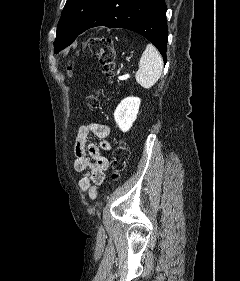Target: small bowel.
<instances>
[{
  "mask_svg": "<svg viewBox=\"0 0 240 281\" xmlns=\"http://www.w3.org/2000/svg\"><path fill=\"white\" fill-rule=\"evenodd\" d=\"M94 135L99 139L98 144L90 142ZM110 129L107 125L99 122H90L78 128L74 144V169L82 172L79 186L87 196L94 200L98 194V187L105 178V171L109 167L108 159L102 151L111 150L109 140Z\"/></svg>",
  "mask_w": 240,
  "mask_h": 281,
  "instance_id": "c3829d8e",
  "label": "small bowel"
}]
</instances>
